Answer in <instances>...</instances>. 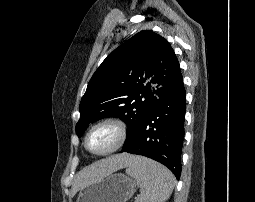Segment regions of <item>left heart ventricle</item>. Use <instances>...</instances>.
<instances>
[{
    "label": "left heart ventricle",
    "mask_w": 255,
    "mask_h": 202,
    "mask_svg": "<svg viewBox=\"0 0 255 202\" xmlns=\"http://www.w3.org/2000/svg\"><path fill=\"white\" fill-rule=\"evenodd\" d=\"M117 139L112 127L104 126L92 132L88 139L89 148L95 152H103L111 148Z\"/></svg>",
    "instance_id": "left-heart-ventricle-1"
}]
</instances>
